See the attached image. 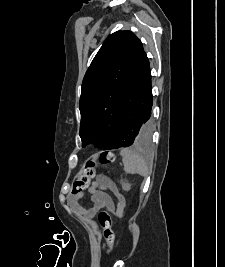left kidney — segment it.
Returning <instances> with one entry per match:
<instances>
[{
    "label": "left kidney",
    "instance_id": "1",
    "mask_svg": "<svg viewBox=\"0 0 225 267\" xmlns=\"http://www.w3.org/2000/svg\"><path fill=\"white\" fill-rule=\"evenodd\" d=\"M122 188L125 190V191H129L130 188H131V185L129 183H123L122 184Z\"/></svg>",
    "mask_w": 225,
    "mask_h": 267
}]
</instances>
